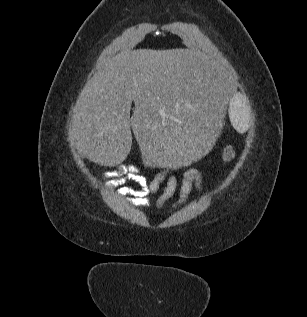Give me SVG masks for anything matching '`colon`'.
<instances>
[{
  "label": "colon",
  "mask_w": 307,
  "mask_h": 317,
  "mask_svg": "<svg viewBox=\"0 0 307 317\" xmlns=\"http://www.w3.org/2000/svg\"><path fill=\"white\" fill-rule=\"evenodd\" d=\"M234 156H235L234 148L227 147L223 152V162L225 164L229 163Z\"/></svg>",
  "instance_id": "5ec220e1"
}]
</instances>
